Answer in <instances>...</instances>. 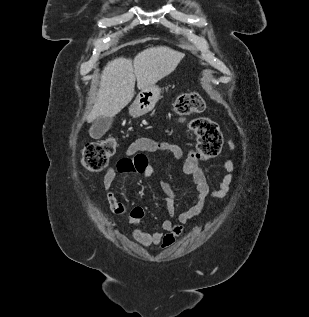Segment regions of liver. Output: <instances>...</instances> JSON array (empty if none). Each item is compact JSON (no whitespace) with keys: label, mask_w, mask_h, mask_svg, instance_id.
<instances>
[{"label":"liver","mask_w":309,"mask_h":317,"mask_svg":"<svg viewBox=\"0 0 309 317\" xmlns=\"http://www.w3.org/2000/svg\"><path fill=\"white\" fill-rule=\"evenodd\" d=\"M184 54L169 47H150L138 53L134 60L123 57L110 61L104 68L94 106L88 122L98 117L112 118L134 97L135 82L140 90L155 86L172 73Z\"/></svg>","instance_id":"liver-1"}]
</instances>
